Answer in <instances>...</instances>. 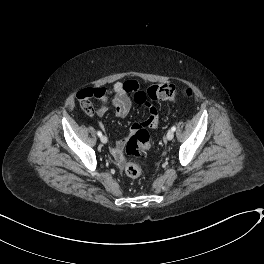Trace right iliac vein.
Listing matches in <instances>:
<instances>
[{"mask_svg":"<svg viewBox=\"0 0 264 264\" xmlns=\"http://www.w3.org/2000/svg\"><path fill=\"white\" fill-rule=\"evenodd\" d=\"M100 141L105 144L107 143L108 139L106 136H101Z\"/></svg>","mask_w":264,"mask_h":264,"instance_id":"63e3f726","label":"right iliac vein"}]
</instances>
